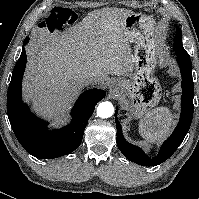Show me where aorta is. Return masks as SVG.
<instances>
[{
  "mask_svg": "<svg viewBox=\"0 0 199 199\" xmlns=\"http://www.w3.org/2000/svg\"><path fill=\"white\" fill-rule=\"evenodd\" d=\"M114 113L113 104L109 101L101 102L97 107V114L101 118L111 117Z\"/></svg>",
  "mask_w": 199,
  "mask_h": 199,
  "instance_id": "762f6f07",
  "label": "aorta"
}]
</instances>
